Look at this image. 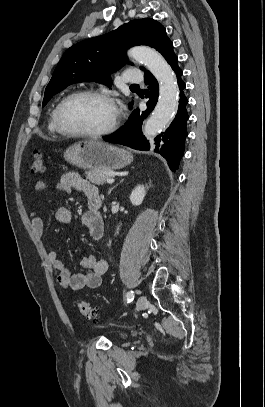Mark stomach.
<instances>
[{"mask_svg":"<svg viewBox=\"0 0 265 407\" xmlns=\"http://www.w3.org/2000/svg\"><path fill=\"white\" fill-rule=\"evenodd\" d=\"M64 158L76 167L102 171L124 168L133 160L129 151L95 140L72 145L64 152Z\"/></svg>","mask_w":265,"mask_h":407,"instance_id":"stomach-1","label":"stomach"}]
</instances>
